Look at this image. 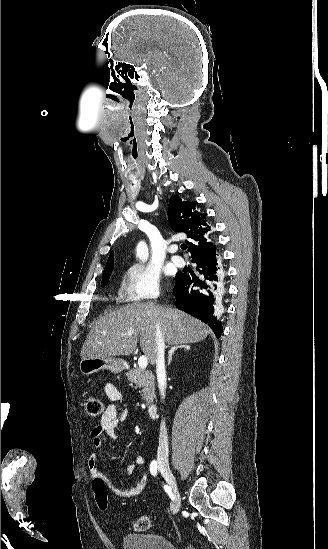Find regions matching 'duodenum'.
<instances>
[{
	"label": "duodenum",
	"mask_w": 328,
	"mask_h": 549,
	"mask_svg": "<svg viewBox=\"0 0 328 549\" xmlns=\"http://www.w3.org/2000/svg\"><path fill=\"white\" fill-rule=\"evenodd\" d=\"M147 410L151 417H156L158 413V406L155 403H151L148 405Z\"/></svg>",
	"instance_id": "obj_1"
}]
</instances>
